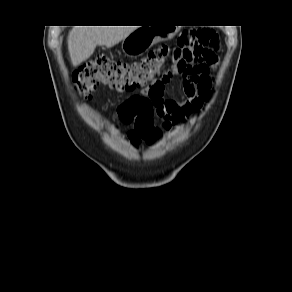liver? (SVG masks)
Returning a JSON list of instances; mask_svg holds the SVG:
<instances>
[{
    "instance_id": "6515ba94",
    "label": "liver",
    "mask_w": 292,
    "mask_h": 292,
    "mask_svg": "<svg viewBox=\"0 0 292 292\" xmlns=\"http://www.w3.org/2000/svg\"><path fill=\"white\" fill-rule=\"evenodd\" d=\"M135 29V26H75L67 41L72 65L78 66L87 60L97 45L112 47Z\"/></svg>"
}]
</instances>
